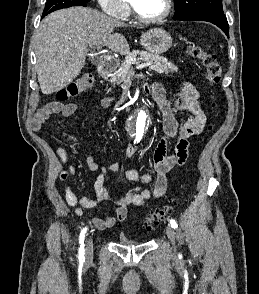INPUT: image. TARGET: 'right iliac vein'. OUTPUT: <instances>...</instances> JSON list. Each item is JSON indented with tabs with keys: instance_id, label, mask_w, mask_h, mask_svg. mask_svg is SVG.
<instances>
[{
	"instance_id": "63e3f726",
	"label": "right iliac vein",
	"mask_w": 259,
	"mask_h": 294,
	"mask_svg": "<svg viewBox=\"0 0 259 294\" xmlns=\"http://www.w3.org/2000/svg\"><path fill=\"white\" fill-rule=\"evenodd\" d=\"M93 255V241L92 238L89 237L86 241V249H85V257L86 261H90Z\"/></svg>"
}]
</instances>
